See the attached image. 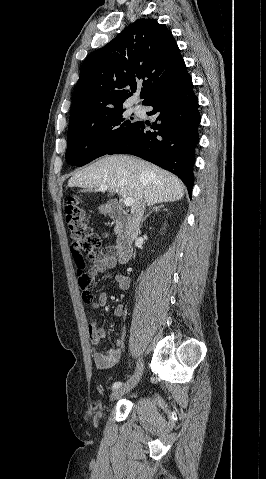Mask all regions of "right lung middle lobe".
Returning <instances> with one entry per match:
<instances>
[{
  "label": "right lung middle lobe",
  "instance_id": "obj_1",
  "mask_svg": "<svg viewBox=\"0 0 266 479\" xmlns=\"http://www.w3.org/2000/svg\"><path fill=\"white\" fill-rule=\"evenodd\" d=\"M122 108L69 121L66 160L81 167L107 154L135 126Z\"/></svg>",
  "mask_w": 266,
  "mask_h": 479
}]
</instances>
